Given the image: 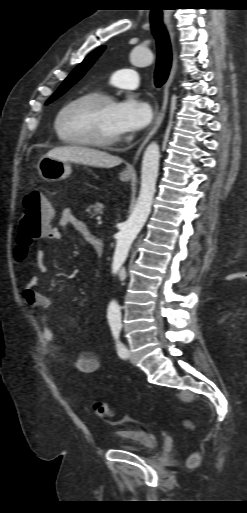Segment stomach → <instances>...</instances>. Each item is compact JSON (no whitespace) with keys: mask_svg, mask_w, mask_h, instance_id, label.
Here are the masks:
<instances>
[{"mask_svg":"<svg viewBox=\"0 0 247 513\" xmlns=\"http://www.w3.org/2000/svg\"><path fill=\"white\" fill-rule=\"evenodd\" d=\"M38 172L47 182H56L67 178L71 174V165L56 158L43 156L38 162ZM131 176L120 174V180L128 182Z\"/></svg>","mask_w":247,"mask_h":513,"instance_id":"obj_1","label":"stomach"}]
</instances>
